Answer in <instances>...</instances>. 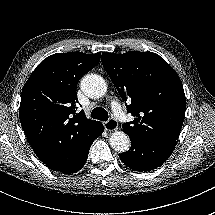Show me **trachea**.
Listing matches in <instances>:
<instances>
[{
  "mask_svg": "<svg viewBox=\"0 0 215 215\" xmlns=\"http://www.w3.org/2000/svg\"><path fill=\"white\" fill-rule=\"evenodd\" d=\"M91 117L93 119H98L100 121L108 120V112L102 107H96L91 112Z\"/></svg>",
  "mask_w": 215,
  "mask_h": 215,
  "instance_id": "trachea-1",
  "label": "trachea"
}]
</instances>
